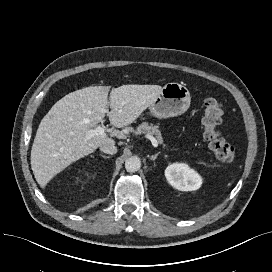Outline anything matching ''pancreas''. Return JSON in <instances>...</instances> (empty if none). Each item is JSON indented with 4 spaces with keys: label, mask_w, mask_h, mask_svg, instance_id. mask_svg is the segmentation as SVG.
Here are the masks:
<instances>
[{
    "label": "pancreas",
    "mask_w": 272,
    "mask_h": 272,
    "mask_svg": "<svg viewBox=\"0 0 272 272\" xmlns=\"http://www.w3.org/2000/svg\"><path fill=\"white\" fill-rule=\"evenodd\" d=\"M135 134L136 135L148 134V135H151V136L154 135L156 137L158 143L163 144L164 148L166 147V145L164 144V140H163V137H162L161 131L159 130L158 125L143 122L137 127V129L135 131Z\"/></svg>",
    "instance_id": "1"
}]
</instances>
